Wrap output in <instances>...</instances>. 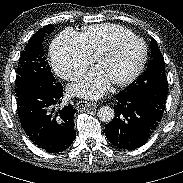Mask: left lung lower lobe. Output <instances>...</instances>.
I'll list each match as a JSON object with an SVG mask.
<instances>
[{
	"label": "left lung lower lobe",
	"instance_id": "1",
	"mask_svg": "<svg viewBox=\"0 0 183 183\" xmlns=\"http://www.w3.org/2000/svg\"><path fill=\"white\" fill-rule=\"evenodd\" d=\"M115 98V118L105 127V135L118 148L136 149L146 143L159 126L165 105L127 91Z\"/></svg>",
	"mask_w": 183,
	"mask_h": 183
}]
</instances>
